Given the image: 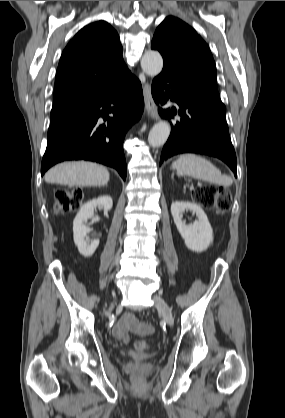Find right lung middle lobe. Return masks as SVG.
Here are the masks:
<instances>
[{"instance_id": "1", "label": "right lung middle lobe", "mask_w": 285, "mask_h": 418, "mask_svg": "<svg viewBox=\"0 0 285 418\" xmlns=\"http://www.w3.org/2000/svg\"><path fill=\"white\" fill-rule=\"evenodd\" d=\"M81 106H70V107H61V108H56V109H52L51 110V114H50V120L54 121L60 117H62L63 115L76 110L78 108H80Z\"/></svg>"}]
</instances>
